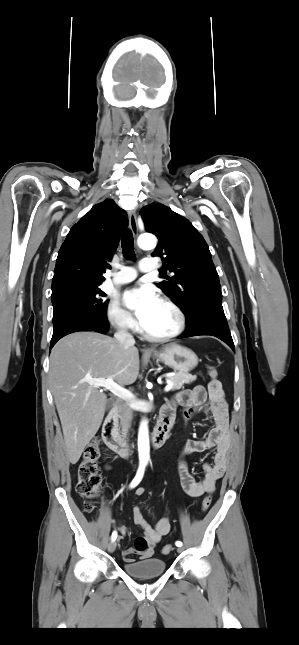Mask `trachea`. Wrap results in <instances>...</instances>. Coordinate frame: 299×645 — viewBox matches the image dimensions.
I'll use <instances>...</instances> for the list:
<instances>
[{
	"label": "trachea",
	"instance_id": "obj_1",
	"mask_svg": "<svg viewBox=\"0 0 299 645\" xmlns=\"http://www.w3.org/2000/svg\"><path fill=\"white\" fill-rule=\"evenodd\" d=\"M121 247L124 257L126 259L134 260V241L132 232L130 230H123L121 237Z\"/></svg>",
	"mask_w": 299,
	"mask_h": 645
}]
</instances>
